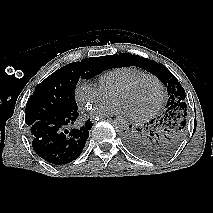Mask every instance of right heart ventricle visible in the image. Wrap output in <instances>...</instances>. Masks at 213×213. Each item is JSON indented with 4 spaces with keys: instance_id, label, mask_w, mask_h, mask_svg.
Returning a JSON list of instances; mask_svg holds the SVG:
<instances>
[{
    "instance_id": "right-heart-ventricle-1",
    "label": "right heart ventricle",
    "mask_w": 213,
    "mask_h": 213,
    "mask_svg": "<svg viewBox=\"0 0 213 213\" xmlns=\"http://www.w3.org/2000/svg\"><path fill=\"white\" fill-rule=\"evenodd\" d=\"M148 74L143 69L135 66H121L112 68L99 76V83L102 89L111 95L118 87L132 79Z\"/></svg>"
}]
</instances>
